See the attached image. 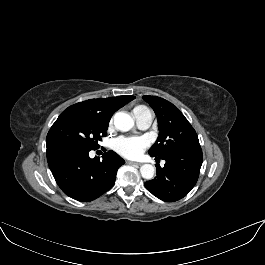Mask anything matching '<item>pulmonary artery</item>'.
<instances>
[{"mask_svg": "<svg viewBox=\"0 0 265 265\" xmlns=\"http://www.w3.org/2000/svg\"><path fill=\"white\" fill-rule=\"evenodd\" d=\"M152 121V115L150 113L144 114L136 119L137 125L141 129H146L150 126Z\"/></svg>", "mask_w": 265, "mask_h": 265, "instance_id": "pulmonary-artery-1", "label": "pulmonary artery"}]
</instances>
